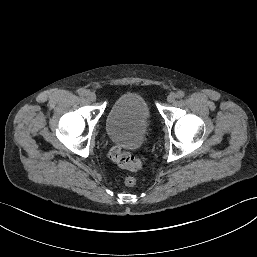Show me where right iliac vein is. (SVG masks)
<instances>
[{"label":"right iliac vein","mask_w":257,"mask_h":257,"mask_svg":"<svg viewBox=\"0 0 257 257\" xmlns=\"http://www.w3.org/2000/svg\"><path fill=\"white\" fill-rule=\"evenodd\" d=\"M86 98L91 102H94L96 100L95 94L91 91L86 92Z\"/></svg>","instance_id":"obj_1"}]
</instances>
